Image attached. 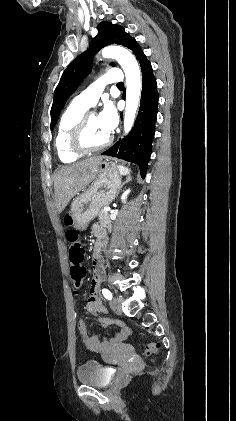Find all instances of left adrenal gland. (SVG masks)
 I'll return each instance as SVG.
<instances>
[{
    "label": "left adrenal gland",
    "mask_w": 236,
    "mask_h": 421,
    "mask_svg": "<svg viewBox=\"0 0 236 421\" xmlns=\"http://www.w3.org/2000/svg\"><path fill=\"white\" fill-rule=\"evenodd\" d=\"M129 180H132V178H131V174H128V176H127V178H126L125 182H129ZM125 182H122L121 186H123V184H125ZM119 190H121V188H119ZM119 190H118V192H119ZM118 192H117V194H118Z\"/></svg>",
    "instance_id": "1"
}]
</instances>
